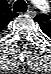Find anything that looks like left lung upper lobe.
Here are the masks:
<instances>
[{
    "mask_svg": "<svg viewBox=\"0 0 51 74\" xmlns=\"http://www.w3.org/2000/svg\"><path fill=\"white\" fill-rule=\"evenodd\" d=\"M44 17H45L44 15H37L34 18V20L37 21L40 24V26H42L43 25V21H45Z\"/></svg>",
    "mask_w": 51,
    "mask_h": 74,
    "instance_id": "left-lung-upper-lobe-1",
    "label": "left lung upper lobe"
}]
</instances>
